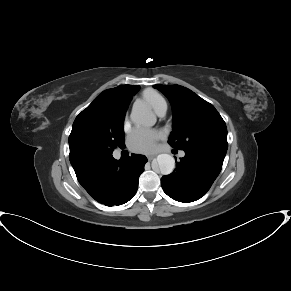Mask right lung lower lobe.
I'll return each instance as SVG.
<instances>
[{
    "mask_svg": "<svg viewBox=\"0 0 291 291\" xmlns=\"http://www.w3.org/2000/svg\"><path fill=\"white\" fill-rule=\"evenodd\" d=\"M69 159L82 187L106 206L128 202L136 193L147 158L132 154L121 161L112 153L70 152Z\"/></svg>",
    "mask_w": 291,
    "mask_h": 291,
    "instance_id": "98d812e1",
    "label": "right lung lower lobe"
}]
</instances>
